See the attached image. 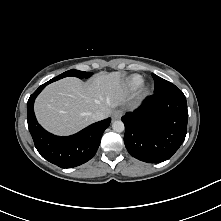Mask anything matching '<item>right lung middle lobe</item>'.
Returning <instances> with one entry per match:
<instances>
[{"instance_id":"right-lung-middle-lobe-1","label":"right lung middle lobe","mask_w":221,"mask_h":221,"mask_svg":"<svg viewBox=\"0 0 221 221\" xmlns=\"http://www.w3.org/2000/svg\"><path fill=\"white\" fill-rule=\"evenodd\" d=\"M91 75H92L91 72H84V71H79V70H74V69H72V70L66 71V72H64V73H62V74H60V75H58L57 77L51 79V80L49 81V83L54 82V81H57V80L62 79V78H64V77H68V76H74V77H78V78H81V79H82V78H88V77H90Z\"/></svg>"}]
</instances>
